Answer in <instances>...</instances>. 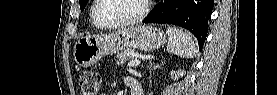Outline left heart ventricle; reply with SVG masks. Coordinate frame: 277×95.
I'll return each mask as SVG.
<instances>
[{"label":"left heart ventricle","mask_w":277,"mask_h":95,"mask_svg":"<svg viewBox=\"0 0 277 95\" xmlns=\"http://www.w3.org/2000/svg\"><path fill=\"white\" fill-rule=\"evenodd\" d=\"M141 10L142 2L140 0H102L96 14L98 18L108 22L133 18Z\"/></svg>","instance_id":"obj_1"}]
</instances>
